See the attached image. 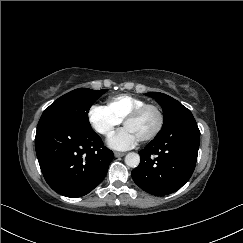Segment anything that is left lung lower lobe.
<instances>
[{
  "mask_svg": "<svg viewBox=\"0 0 243 243\" xmlns=\"http://www.w3.org/2000/svg\"><path fill=\"white\" fill-rule=\"evenodd\" d=\"M199 138L195 119L156 136L139 151L140 164L131 173L134 182L152 195L164 196L177 191L195 169Z\"/></svg>",
  "mask_w": 243,
  "mask_h": 243,
  "instance_id": "0a47b994",
  "label": "left lung lower lobe"
}]
</instances>
